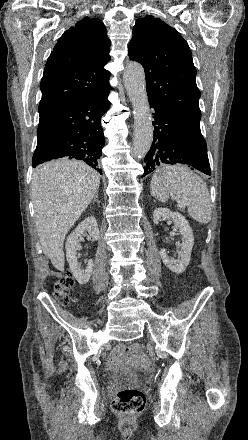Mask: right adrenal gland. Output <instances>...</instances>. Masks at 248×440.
Listing matches in <instances>:
<instances>
[{"mask_svg":"<svg viewBox=\"0 0 248 440\" xmlns=\"http://www.w3.org/2000/svg\"><path fill=\"white\" fill-rule=\"evenodd\" d=\"M97 194L94 196V199L91 201V202H98V200H97Z\"/></svg>","mask_w":248,"mask_h":440,"instance_id":"right-adrenal-gland-1","label":"right adrenal gland"}]
</instances>
